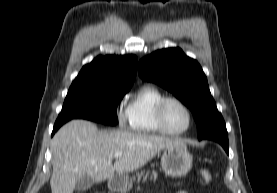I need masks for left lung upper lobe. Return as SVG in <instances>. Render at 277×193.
<instances>
[{
	"label": "left lung upper lobe",
	"mask_w": 277,
	"mask_h": 193,
	"mask_svg": "<svg viewBox=\"0 0 277 193\" xmlns=\"http://www.w3.org/2000/svg\"><path fill=\"white\" fill-rule=\"evenodd\" d=\"M138 72L143 80L155 82L171 91L190 108L196 120L199 140L213 132L226 131L201 66L180 48L158 50L143 58Z\"/></svg>",
	"instance_id": "obj_1"
}]
</instances>
